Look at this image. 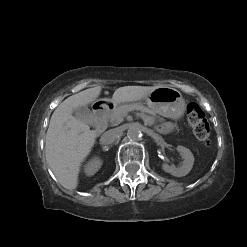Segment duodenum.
Returning a JSON list of instances; mask_svg holds the SVG:
<instances>
[{
  "instance_id": "duodenum-1",
  "label": "duodenum",
  "mask_w": 247,
  "mask_h": 247,
  "mask_svg": "<svg viewBox=\"0 0 247 247\" xmlns=\"http://www.w3.org/2000/svg\"><path fill=\"white\" fill-rule=\"evenodd\" d=\"M112 108V104L110 102H104L98 104L94 108V117H95V131L97 133H102L107 124V114L109 110Z\"/></svg>"
}]
</instances>
